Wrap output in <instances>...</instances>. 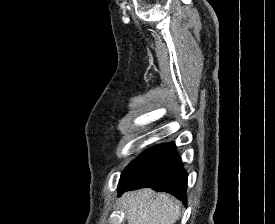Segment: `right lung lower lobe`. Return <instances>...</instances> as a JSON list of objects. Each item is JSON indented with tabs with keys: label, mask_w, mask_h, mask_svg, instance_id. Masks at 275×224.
<instances>
[{
	"label": "right lung lower lobe",
	"mask_w": 275,
	"mask_h": 224,
	"mask_svg": "<svg viewBox=\"0 0 275 224\" xmlns=\"http://www.w3.org/2000/svg\"><path fill=\"white\" fill-rule=\"evenodd\" d=\"M187 172L173 142L152 147L133 160L122 172L119 194L126 190L150 187L165 191L186 203Z\"/></svg>",
	"instance_id": "obj_1"
}]
</instances>
